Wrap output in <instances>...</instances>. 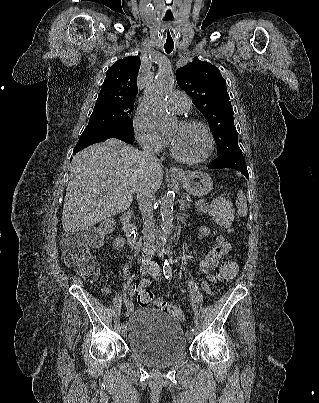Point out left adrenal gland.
<instances>
[{
	"label": "left adrenal gland",
	"mask_w": 319,
	"mask_h": 403,
	"mask_svg": "<svg viewBox=\"0 0 319 403\" xmlns=\"http://www.w3.org/2000/svg\"><path fill=\"white\" fill-rule=\"evenodd\" d=\"M179 208L181 211L189 210L190 206L185 203V198L182 197L179 201Z\"/></svg>",
	"instance_id": "a2214340"
}]
</instances>
